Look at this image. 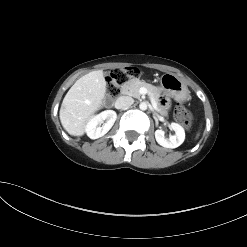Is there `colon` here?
Listing matches in <instances>:
<instances>
[{
    "instance_id": "obj_1",
    "label": "colon",
    "mask_w": 247,
    "mask_h": 247,
    "mask_svg": "<svg viewBox=\"0 0 247 247\" xmlns=\"http://www.w3.org/2000/svg\"><path fill=\"white\" fill-rule=\"evenodd\" d=\"M138 75L139 70L134 67L117 68L112 70L110 76L107 79V99L110 101L114 100L120 93V86L131 78L137 77ZM175 117L185 127H190L192 124V116L183 105H178L176 107Z\"/></svg>"
}]
</instances>
